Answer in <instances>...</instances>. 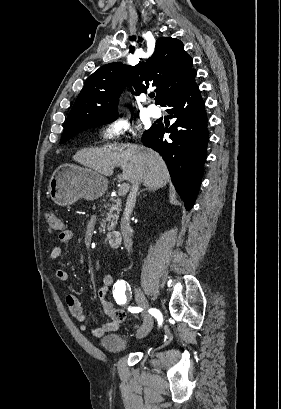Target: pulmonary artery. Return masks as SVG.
Here are the masks:
<instances>
[{"label": "pulmonary artery", "instance_id": "e3ab8cb5", "mask_svg": "<svg viewBox=\"0 0 281 409\" xmlns=\"http://www.w3.org/2000/svg\"><path fill=\"white\" fill-rule=\"evenodd\" d=\"M147 113L151 118L158 119L161 117V110L155 106H149L147 108Z\"/></svg>", "mask_w": 281, "mask_h": 409}]
</instances>
